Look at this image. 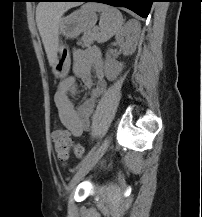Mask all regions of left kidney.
<instances>
[{"label": "left kidney", "instance_id": "obj_1", "mask_svg": "<svg viewBox=\"0 0 202 217\" xmlns=\"http://www.w3.org/2000/svg\"><path fill=\"white\" fill-rule=\"evenodd\" d=\"M140 25L137 21L131 20L116 35V41L119 44L125 56L132 55L138 43ZM125 37V39H124ZM105 75L108 80L113 81L124 68L123 63L115 61L109 52L106 54Z\"/></svg>", "mask_w": 202, "mask_h": 217}]
</instances>
